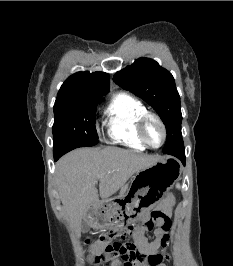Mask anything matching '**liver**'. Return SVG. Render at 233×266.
<instances>
[{
	"instance_id": "obj_1",
	"label": "liver",
	"mask_w": 233,
	"mask_h": 266,
	"mask_svg": "<svg viewBox=\"0 0 233 266\" xmlns=\"http://www.w3.org/2000/svg\"><path fill=\"white\" fill-rule=\"evenodd\" d=\"M146 155L118 147L79 148L64 155L56 164L57 188L65 216L73 230L79 232L83 220L96 227L89 214L91 205L115 194L138 171L160 161Z\"/></svg>"
}]
</instances>
